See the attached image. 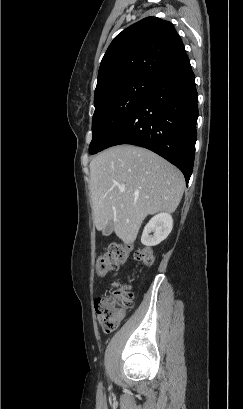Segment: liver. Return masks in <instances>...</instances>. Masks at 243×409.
Returning a JSON list of instances; mask_svg holds the SVG:
<instances>
[{
  "label": "liver",
  "mask_w": 243,
  "mask_h": 409,
  "mask_svg": "<svg viewBox=\"0 0 243 409\" xmlns=\"http://www.w3.org/2000/svg\"><path fill=\"white\" fill-rule=\"evenodd\" d=\"M89 167L93 223L103 231L113 221L115 234L126 244L136 240L145 217L174 212L183 196L181 171L145 148L111 147Z\"/></svg>",
  "instance_id": "1"
}]
</instances>
